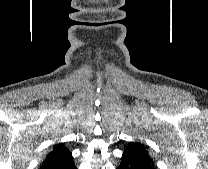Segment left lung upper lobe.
<instances>
[{
    "instance_id": "1",
    "label": "left lung upper lobe",
    "mask_w": 208,
    "mask_h": 169,
    "mask_svg": "<svg viewBox=\"0 0 208 169\" xmlns=\"http://www.w3.org/2000/svg\"><path fill=\"white\" fill-rule=\"evenodd\" d=\"M126 149H131V150L138 152L139 154L143 155L147 159V161L153 164L152 158L150 157L148 151L145 149V147L141 143L132 142L126 146Z\"/></svg>"
}]
</instances>
